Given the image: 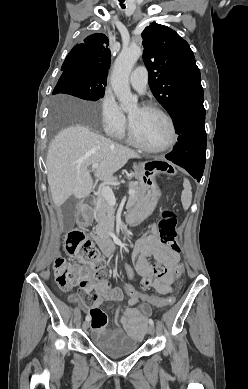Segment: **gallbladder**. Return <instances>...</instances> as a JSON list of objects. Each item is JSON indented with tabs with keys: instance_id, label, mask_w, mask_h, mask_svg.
Returning a JSON list of instances; mask_svg holds the SVG:
<instances>
[{
	"instance_id": "1",
	"label": "gallbladder",
	"mask_w": 248,
	"mask_h": 389,
	"mask_svg": "<svg viewBox=\"0 0 248 389\" xmlns=\"http://www.w3.org/2000/svg\"><path fill=\"white\" fill-rule=\"evenodd\" d=\"M77 203H78V199H76V198H70V199L66 202V204H65V206H64L66 212H67L68 214L72 215V217H74V207H75V205H76Z\"/></svg>"
}]
</instances>
